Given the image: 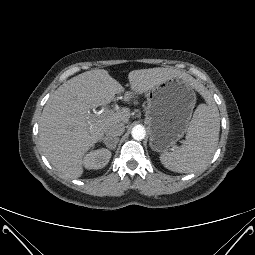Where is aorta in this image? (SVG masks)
I'll use <instances>...</instances> for the list:
<instances>
[{"label": "aorta", "mask_w": 255, "mask_h": 255, "mask_svg": "<svg viewBox=\"0 0 255 255\" xmlns=\"http://www.w3.org/2000/svg\"><path fill=\"white\" fill-rule=\"evenodd\" d=\"M131 134L135 140L139 141L145 138L146 131L143 126L137 125L133 127Z\"/></svg>", "instance_id": "762f6f07"}]
</instances>
